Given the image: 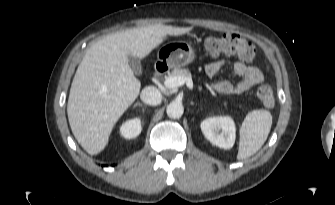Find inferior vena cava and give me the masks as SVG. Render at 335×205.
I'll use <instances>...</instances> for the list:
<instances>
[{
  "label": "inferior vena cava",
  "mask_w": 335,
  "mask_h": 205,
  "mask_svg": "<svg viewBox=\"0 0 335 205\" xmlns=\"http://www.w3.org/2000/svg\"><path fill=\"white\" fill-rule=\"evenodd\" d=\"M140 98L145 104L158 105L162 101V94L156 87L148 86L142 90Z\"/></svg>",
  "instance_id": "602c4592"
}]
</instances>
